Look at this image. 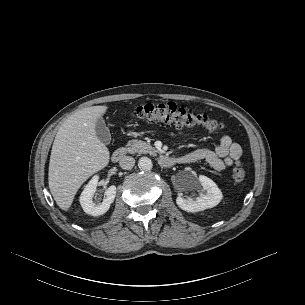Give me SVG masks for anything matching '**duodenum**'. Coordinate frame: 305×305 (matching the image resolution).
<instances>
[{"label":"duodenum","instance_id":"1","mask_svg":"<svg viewBox=\"0 0 305 305\" xmlns=\"http://www.w3.org/2000/svg\"><path fill=\"white\" fill-rule=\"evenodd\" d=\"M124 155H125V149L123 147H119L113 151L111 155V160L114 163H118L123 158ZM158 162L161 167L168 168L175 164H178L179 160L176 157L160 156Z\"/></svg>","mask_w":305,"mask_h":305}]
</instances>
